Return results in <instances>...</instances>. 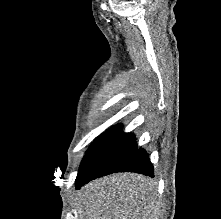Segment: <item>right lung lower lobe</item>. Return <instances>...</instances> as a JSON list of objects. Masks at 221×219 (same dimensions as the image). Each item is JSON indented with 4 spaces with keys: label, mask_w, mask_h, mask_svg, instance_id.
I'll return each mask as SVG.
<instances>
[{
    "label": "right lung lower lobe",
    "mask_w": 221,
    "mask_h": 219,
    "mask_svg": "<svg viewBox=\"0 0 221 219\" xmlns=\"http://www.w3.org/2000/svg\"><path fill=\"white\" fill-rule=\"evenodd\" d=\"M115 172H136L154 177L147 152L137 148L135 136L124 133L122 125L111 127L90 146L79 168L76 188Z\"/></svg>",
    "instance_id": "obj_1"
}]
</instances>
